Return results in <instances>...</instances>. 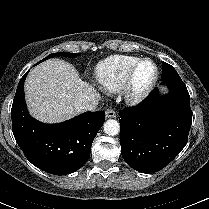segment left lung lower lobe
<instances>
[{"mask_svg":"<svg viewBox=\"0 0 209 209\" xmlns=\"http://www.w3.org/2000/svg\"><path fill=\"white\" fill-rule=\"evenodd\" d=\"M163 83L170 89L164 97L167 104L154 89L143 102L120 112L122 157L142 173H154L170 163L187 144L192 124L190 96L182 79Z\"/></svg>","mask_w":209,"mask_h":209,"instance_id":"1","label":"left lung lower lobe"}]
</instances>
